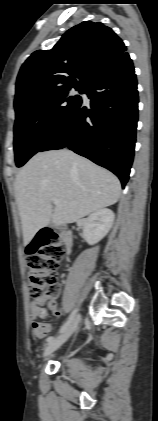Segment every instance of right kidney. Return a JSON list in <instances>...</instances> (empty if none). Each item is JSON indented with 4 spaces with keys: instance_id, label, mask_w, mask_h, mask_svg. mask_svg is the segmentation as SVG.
<instances>
[{
    "instance_id": "1",
    "label": "right kidney",
    "mask_w": 158,
    "mask_h": 421,
    "mask_svg": "<svg viewBox=\"0 0 158 421\" xmlns=\"http://www.w3.org/2000/svg\"><path fill=\"white\" fill-rule=\"evenodd\" d=\"M115 215L112 210L103 208L88 216L83 225V237L89 245L104 238L113 226Z\"/></svg>"
}]
</instances>
